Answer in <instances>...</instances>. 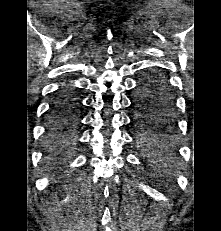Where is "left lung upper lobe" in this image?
Masks as SVG:
<instances>
[{
    "label": "left lung upper lobe",
    "instance_id": "obj_1",
    "mask_svg": "<svg viewBox=\"0 0 221 231\" xmlns=\"http://www.w3.org/2000/svg\"><path fill=\"white\" fill-rule=\"evenodd\" d=\"M152 76L168 87L165 78L159 73H153ZM164 86H157L150 90L140 88L135 97V122L143 130L139 135V140L142 142L161 131L168 130L169 122L173 121L172 96ZM151 98L158 99L161 103L153 107L149 104Z\"/></svg>",
    "mask_w": 221,
    "mask_h": 231
}]
</instances>
